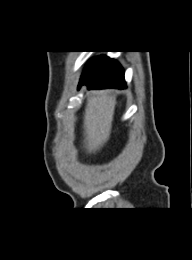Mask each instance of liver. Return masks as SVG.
Returning <instances> with one entry per match:
<instances>
[{
	"instance_id": "1",
	"label": "liver",
	"mask_w": 192,
	"mask_h": 260,
	"mask_svg": "<svg viewBox=\"0 0 192 260\" xmlns=\"http://www.w3.org/2000/svg\"><path fill=\"white\" fill-rule=\"evenodd\" d=\"M115 100L105 91H94L87 97L84 113V148L96 153L109 140Z\"/></svg>"
}]
</instances>
